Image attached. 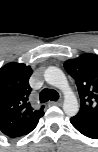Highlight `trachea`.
I'll use <instances>...</instances> for the list:
<instances>
[{
	"mask_svg": "<svg viewBox=\"0 0 98 152\" xmlns=\"http://www.w3.org/2000/svg\"><path fill=\"white\" fill-rule=\"evenodd\" d=\"M58 99H59V93L53 89L45 88L40 92L39 95V100L41 103L47 102L49 100L57 101Z\"/></svg>",
	"mask_w": 98,
	"mask_h": 152,
	"instance_id": "trachea-1",
	"label": "trachea"
}]
</instances>
